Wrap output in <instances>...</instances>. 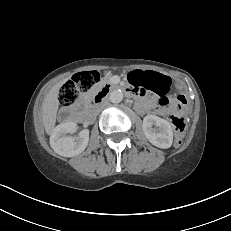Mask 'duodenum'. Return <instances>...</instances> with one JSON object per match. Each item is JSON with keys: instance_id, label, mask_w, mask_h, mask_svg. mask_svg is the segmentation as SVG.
Returning a JSON list of instances; mask_svg holds the SVG:
<instances>
[{"instance_id": "obj_1", "label": "duodenum", "mask_w": 231, "mask_h": 231, "mask_svg": "<svg viewBox=\"0 0 231 231\" xmlns=\"http://www.w3.org/2000/svg\"><path fill=\"white\" fill-rule=\"evenodd\" d=\"M110 90H111V86L109 84H104L102 86V88L93 97V99L91 101V106L90 107L91 108L96 107L103 100V98L108 94V92ZM126 93L127 94L135 95L137 98H139V96L136 95V92L133 91V90H131V89H126ZM145 105H146L145 102H143V101L140 102V106L144 110H146Z\"/></svg>"}]
</instances>
